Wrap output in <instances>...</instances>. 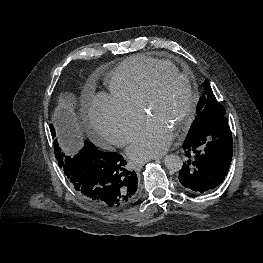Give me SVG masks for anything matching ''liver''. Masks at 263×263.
I'll return each instance as SVG.
<instances>
[{
    "mask_svg": "<svg viewBox=\"0 0 263 263\" xmlns=\"http://www.w3.org/2000/svg\"><path fill=\"white\" fill-rule=\"evenodd\" d=\"M59 106L57 108V113L63 117H74L73 109L76 103L75 96L70 93H65L59 97Z\"/></svg>",
    "mask_w": 263,
    "mask_h": 263,
    "instance_id": "obj_1",
    "label": "liver"
}]
</instances>
